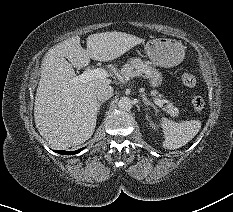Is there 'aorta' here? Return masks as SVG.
I'll return each mask as SVG.
<instances>
[{
    "instance_id": "762f6f07",
    "label": "aorta",
    "mask_w": 233,
    "mask_h": 212,
    "mask_svg": "<svg viewBox=\"0 0 233 212\" xmlns=\"http://www.w3.org/2000/svg\"><path fill=\"white\" fill-rule=\"evenodd\" d=\"M132 100L129 97H121L118 106L121 110L128 111L132 108Z\"/></svg>"
}]
</instances>
